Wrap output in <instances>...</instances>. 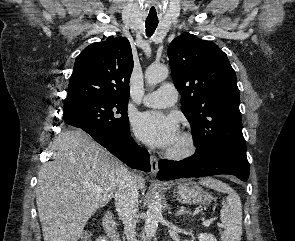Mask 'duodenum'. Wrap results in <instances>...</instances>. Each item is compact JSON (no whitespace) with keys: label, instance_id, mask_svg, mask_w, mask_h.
Masks as SVG:
<instances>
[{"label":"duodenum","instance_id":"duodenum-1","mask_svg":"<svg viewBox=\"0 0 295 241\" xmlns=\"http://www.w3.org/2000/svg\"><path fill=\"white\" fill-rule=\"evenodd\" d=\"M104 229L105 232L110 237L111 241H121L116 222L113 218V214L111 212H107L104 215Z\"/></svg>","mask_w":295,"mask_h":241}]
</instances>
